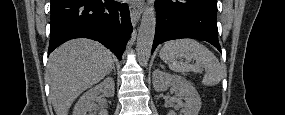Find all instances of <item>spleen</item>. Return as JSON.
Masks as SVG:
<instances>
[{
	"mask_svg": "<svg viewBox=\"0 0 285 115\" xmlns=\"http://www.w3.org/2000/svg\"><path fill=\"white\" fill-rule=\"evenodd\" d=\"M160 58L168 64L174 72H198L205 69L202 84L205 86L217 85L223 78L222 66L207 47L193 39L172 40L164 44L160 51ZM185 58L186 61H195L194 64L178 61Z\"/></svg>",
	"mask_w": 285,
	"mask_h": 115,
	"instance_id": "obj_1",
	"label": "spleen"
}]
</instances>
